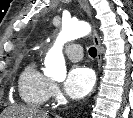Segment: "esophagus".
I'll list each match as a JSON object with an SVG mask.
<instances>
[{"mask_svg":"<svg viewBox=\"0 0 133 118\" xmlns=\"http://www.w3.org/2000/svg\"><path fill=\"white\" fill-rule=\"evenodd\" d=\"M78 2L80 6L83 8V10L87 13V15L91 18L92 15H91V10L88 5V2L86 0H78ZM92 38H93V43L97 48V62L100 68L102 64V46H101L100 38L95 29H93Z\"/></svg>","mask_w":133,"mask_h":118,"instance_id":"obj_1","label":"esophagus"}]
</instances>
